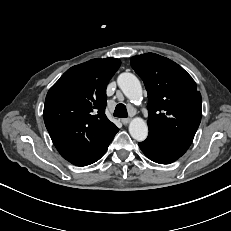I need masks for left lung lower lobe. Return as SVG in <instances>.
I'll list each match as a JSON object with an SVG mask.
<instances>
[{"label": "left lung lower lobe", "instance_id": "0a47b994", "mask_svg": "<svg viewBox=\"0 0 231 231\" xmlns=\"http://www.w3.org/2000/svg\"><path fill=\"white\" fill-rule=\"evenodd\" d=\"M139 147L150 160L159 164H170L186 152V149L150 133L145 141L139 143Z\"/></svg>", "mask_w": 231, "mask_h": 231}]
</instances>
